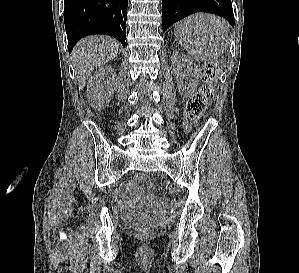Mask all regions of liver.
<instances>
[{"label": "liver", "instance_id": "liver-1", "mask_svg": "<svg viewBox=\"0 0 299 273\" xmlns=\"http://www.w3.org/2000/svg\"><path fill=\"white\" fill-rule=\"evenodd\" d=\"M118 50L119 43L106 36H90L79 41L72 52L79 88H84L95 68L113 60Z\"/></svg>", "mask_w": 299, "mask_h": 273}]
</instances>
